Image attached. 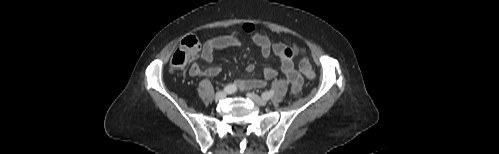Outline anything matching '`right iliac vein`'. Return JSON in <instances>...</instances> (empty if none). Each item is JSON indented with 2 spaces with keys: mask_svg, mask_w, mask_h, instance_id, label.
Masks as SVG:
<instances>
[{
  "mask_svg": "<svg viewBox=\"0 0 499 154\" xmlns=\"http://www.w3.org/2000/svg\"><path fill=\"white\" fill-rule=\"evenodd\" d=\"M226 95H227L226 92L219 91V92L216 93L215 98L217 100H221V99H224L226 97Z\"/></svg>",
  "mask_w": 499,
  "mask_h": 154,
  "instance_id": "right-iliac-vein-1",
  "label": "right iliac vein"
}]
</instances>
